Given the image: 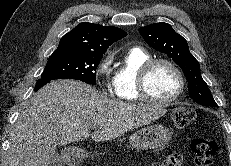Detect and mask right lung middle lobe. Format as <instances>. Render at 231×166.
<instances>
[{
  "label": "right lung middle lobe",
  "instance_id": "right-lung-middle-lobe-1",
  "mask_svg": "<svg viewBox=\"0 0 231 166\" xmlns=\"http://www.w3.org/2000/svg\"><path fill=\"white\" fill-rule=\"evenodd\" d=\"M103 55H92L73 50H56L48 59L41 79H76L96 84V69Z\"/></svg>",
  "mask_w": 231,
  "mask_h": 166
}]
</instances>
